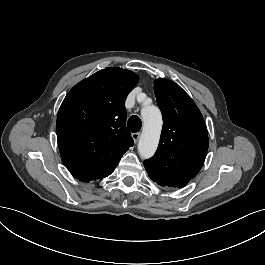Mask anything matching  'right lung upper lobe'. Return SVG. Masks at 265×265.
<instances>
[{"mask_svg": "<svg viewBox=\"0 0 265 265\" xmlns=\"http://www.w3.org/2000/svg\"><path fill=\"white\" fill-rule=\"evenodd\" d=\"M139 77L117 67L75 85L57 115L56 133L65 166L114 168L134 141L127 130L125 100Z\"/></svg>", "mask_w": 265, "mask_h": 265, "instance_id": "right-lung-upper-lobe-1", "label": "right lung upper lobe"}]
</instances>
